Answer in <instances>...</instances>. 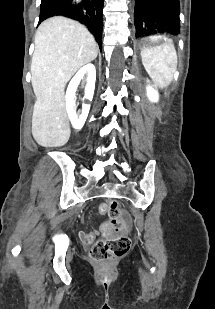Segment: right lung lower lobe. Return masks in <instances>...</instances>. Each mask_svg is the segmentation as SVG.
<instances>
[{
	"mask_svg": "<svg viewBox=\"0 0 215 309\" xmlns=\"http://www.w3.org/2000/svg\"><path fill=\"white\" fill-rule=\"evenodd\" d=\"M103 0H41L38 25L52 16H65L79 21L94 34L101 47Z\"/></svg>",
	"mask_w": 215,
	"mask_h": 309,
	"instance_id": "obj_1",
	"label": "right lung lower lobe"
}]
</instances>
